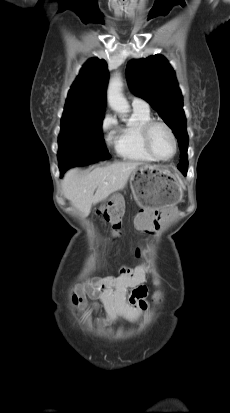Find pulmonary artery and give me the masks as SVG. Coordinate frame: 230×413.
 <instances>
[{"mask_svg": "<svg viewBox=\"0 0 230 413\" xmlns=\"http://www.w3.org/2000/svg\"><path fill=\"white\" fill-rule=\"evenodd\" d=\"M132 106L137 108L149 109L148 103L141 98H133Z\"/></svg>", "mask_w": 230, "mask_h": 413, "instance_id": "pulmonary-artery-1", "label": "pulmonary artery"}]
</instances>
